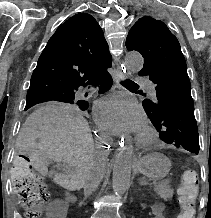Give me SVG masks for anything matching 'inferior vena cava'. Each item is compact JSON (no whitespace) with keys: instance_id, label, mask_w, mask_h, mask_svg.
Here are the masks:
<instances>
[{"instance_id":"1","label":"inferior vena cava","mask_w":211,"mask_h":218,"mask_svg":"<svg viewBox=\"0 0 211 218\" xmlns=\"http://www.w3.org/2000/svg\"><path fill=\"white\" fill-rule=\"evenodd\" d=\"M98 154L102 160H105L106 156L104 152H98ZM100 166H102V162H97V168H95L93 172L86 174V176H84L83 182H80L82 188H84L85 198H89L92 192H95L103 178Z\"/></svg>"}]
</instances>
